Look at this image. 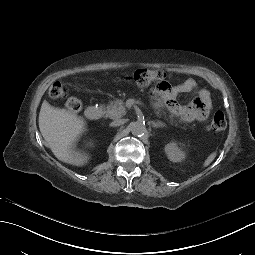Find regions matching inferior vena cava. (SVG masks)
Returning <instances> with one entry per match:
<instances>
[{"instance_id":"602c4592","label":"inferior vena cava","mask_w":255,"mask_h":255,"mask_svg":"<svg viewBox=\"0 0 255 255\" xmlns=\"http://www.w3.org/2000/svg\"><path fill=\"white\" fill-rule=\"evenodd\" d=\"M122 124H123V120L118 119V120H114L110 125L111 126H120Z\"/></svg>"}]
</instances>
